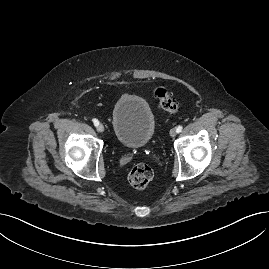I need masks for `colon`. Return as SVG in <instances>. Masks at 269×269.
I'll return each instance as SVG.
<instances>
[{
	"instance_id": "5ec220e1",
	"label": "colon",
	"mask_w": 269,
	"mask_h": 269,
	"mask_svg": "<svg viewBox=\"0 0 269 269\" xmlns=\"http://www.w3.org/2000/svg\"><path fill=\"white\" fill-rule=\"evenodd\" d=\"M155 96L160 108L165 111L176 113L179 110L178 103L172 97L170 91L165 87H158ZM153 170L146 164H138L132 168L128 175L130 185L136 189H144L153 179Z\"/></svg>"
}]
</instances>
